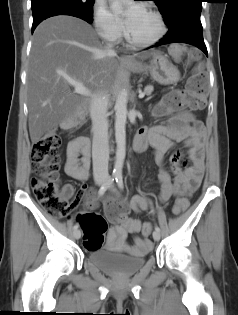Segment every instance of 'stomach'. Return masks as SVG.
Wrapping results in <instances>:
<instances>
[{"label": "stomach", "mask_w": 238, "mask_h": 315, "mask_svg": "<svg viewBox=\"0 0 238 315\" xmlns=\"http://www.w3.org/2000/svg\"><path fill=\"white\" fill-rule=\"evenodd\" d=\"M140 64L143 63L140 62ZM144 66V71H138V73H150L151 77L160 84H173L180 79L178 69L161 53L153 55L149 63Z\"/></svg>", "instance_id": "stomach-1"}]
</instances>
